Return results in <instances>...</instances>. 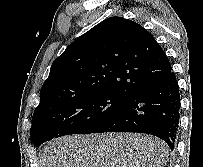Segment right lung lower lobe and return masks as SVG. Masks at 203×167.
<instances>
[{
	"label": "right lung lower lobe",
	"instance_id": "1",
	"mask_svg": "<svg viewBox=\"0 0 203 167\" xmlns=\"http://www.w3.org/2000/svg\"><path fill=\"white\" fill-rule=\"evenodd\" d=\"M179 118V87L170 71L127 97V101L92 133H147L161 138L173 150Z\"/></svg>",
	"mask_w": 203,
	"mask_h": 167
}]
</instances>
